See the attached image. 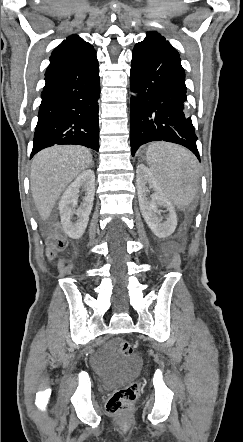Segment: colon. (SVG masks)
I'll return each mask as SVG.
<instances>
[{"mask_svg":"<svg viewBox=\"0 0 243 442\" xmlns=\"http://www.w3.org/2000/svg\"><path fill=\"white\" fill-rule=\"evenodd\" d=\"M175 242H182V239H175ZM65 245L66 238L64 234L60 228H56L55 231L49 236L45 249L46 257H54L64 248ZM184 246H187V243H184ZM119 351L122 356H130L133 354L134 349L129 341L123 340L119 345ZM138 391L139 385L136 382L117 389L106 402L107 412L115 416L125 415L131 403L137 397Z\"/></svg>","mask_w":243,"mask_h":442,"instance_id":"colon-1","label":"colon"}]
</instances>
